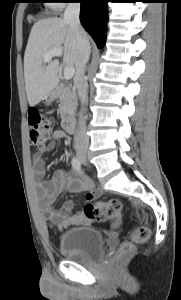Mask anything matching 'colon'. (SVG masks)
Wrapping results in <instances>:
<instances>
[{
	"mask_svg": "<svg viewBox=\"0 0 181 300\" xmlns=\"http://www.w3.org/2000/svg\"><path fill=\"white\" fill-rule=\"evenodd\" d=\"M29 125H30V141L32 145L37 148H42L48 141L50 136L51 123L48 118L38 110H31L28 113ZM122 204L117 199H110L107 201H101L96 204H88L84 208V215L92 221L105 222L113 220L115 222L120 219ZM144 218V215H141ZM151 235L150 228L146 225H140L137 227L129 241L123 242L116 255L117 261H123L133 250L135 244L146 242Z\"/></svg>",
	"mask_w": 181,
	"mask_h": 300,
	"instance_id": "5ec220e1",
	"label": "colon"
}]
</instances>
